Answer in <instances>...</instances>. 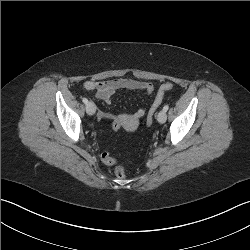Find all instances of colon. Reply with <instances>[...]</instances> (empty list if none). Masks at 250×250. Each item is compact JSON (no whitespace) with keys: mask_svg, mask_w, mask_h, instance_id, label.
Here are the masks:
<instances>
[{"mask_svg":"<svg viewBox=\"0 0 250 250\" xmlns=\"http://www.w3.org/2000/svg\"><path fill=\"white\" fill-rule=\"evenodd\" d=\"M173 88V84L170 82H166L162 84L157 92V95L154 99V102L148 112L147 115V125H151L153 122V119L155 117V113L162 103L163 97L166 92L171 90ZM125 118L124 116L122 117ZM110 125L112 126V134H118L121 131V117L115 116L114 119L110 122ZM100 157L102 160L108 164V165H114L113 167V173L117 178H124L126 175L125 168L121 165H116L115 160L110 156V154L106 151L100 152Z\"/></svg>","mask_w":250,"mask_h":250,"instance_id":"obj_1","label":"colon"}]
</instances>
